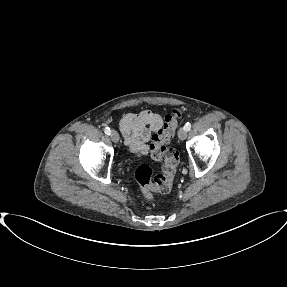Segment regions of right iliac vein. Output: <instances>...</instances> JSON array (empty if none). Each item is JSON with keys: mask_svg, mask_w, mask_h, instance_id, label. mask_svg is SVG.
Listing matches in <instances>:
<instances>
[{"mask_svg": "<svg viewBox=\"0 0 287 287\" xmlns=\"http://www.w3.org/2000/svg\"><path fill=\"white\" fill-rule=\"evenodd\" d=\"M110 135L114 143H117L119 141V134L115 130H112Z\"/></svg>", "mask_w": 287, "mask_h": 287, "instance_id": "obj_1", "label": "right iliac vein"}]
</instances>
